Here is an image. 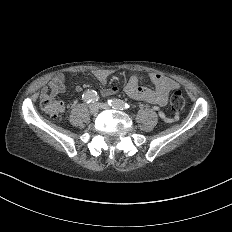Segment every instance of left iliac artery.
Here are the masks:
<instances>
[{
  "mask_svg": "<svg viewBox=\"0 0 232 232\" xmlns=\"http://www.w3.org/2000/svg\"><path fill=\"white\" fill-rule=\"evenodd\" d=\"M108 104L112 108L118 109V110H129V109H131V105L129 103H127V102L122 101V100L109 99Z\"/></svg>",
  "mask_w": 232,
  "mask_h": 232,
  "instance_id": "obj_1",
  "label": "left iliac artery"
}]
</instances>
